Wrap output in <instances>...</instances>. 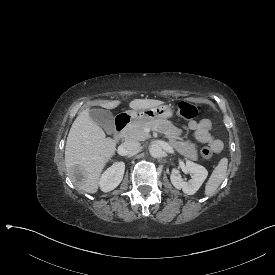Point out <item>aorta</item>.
I'll return each instance as SVG.
<instances>
[{"label":"aorta","mask_w":275,"mask_h":275,"mask_svg":"<svg viewBox=\"0 0 275 275\" xmlns=\"http://www.w3.org/2000/svg\"><path fill=\"white\" fill-rule=\"evenodd\" d=\"M162 148L159 144H153L150 148H149V153L153 158H160L162 157Z\"/></svg>","instance_id":"1"}]
</instances>
